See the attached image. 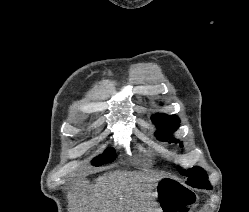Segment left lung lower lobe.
<instances>
[{
  "label": "left lung lower lobe",
  "instance_id": "0a47b994",
  "mask_svg": "<svg viewBox=\"0 0 249 212\" xmlns=\"http://www.w3.org/2000/svg\"><path fill=\"white\" fill-rule=\"evenodd\" d=\"M196 188H202V189H212L211 185H203V186H196Z\"/></svg>",
  "mask_w": 249,
  "mask_h": 212
}]
</instances>
